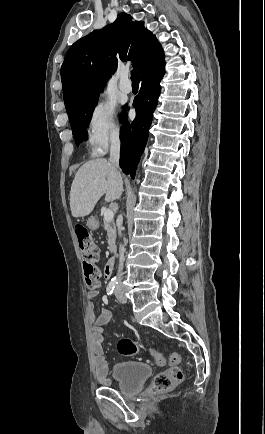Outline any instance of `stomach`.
I'll return each mask as SVG.
<instances>
[{"mask_svg":"<svg viewBox=\"0 0 265 434\" xmlns=\"http://www.w3.org/2000/svg\"><path fill=\"white\" fill-rule=\"evenodd\" d=\"M92 222H95V220H89V222H88V226H90V229L93 231V232H96L98 229H99V226L96 224V223H93L92 224ZM92 224V225H91Z\"/></svg>","mask_w":265,"mask_h":434,"instance_id":"1","label":"stomach"}]
</instances>
